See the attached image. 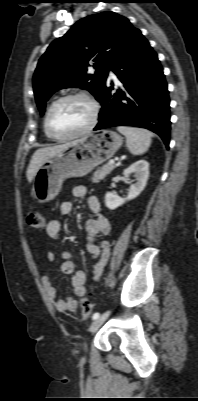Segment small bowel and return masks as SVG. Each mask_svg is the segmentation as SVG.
I'll list each match as a JSON object with an SVG mask.
<instances>
[{
  "instance_id": "c3829d8e",
  "label": "small bowel",
  "mask_w": 198,
  "mask_h": 401,
  "mask_svg": "<svg viewBox=\"0 0 198 401\" xmlns=\"http://www.w3.org/2000/svg\"><path fill=\"white\" fill-rule=\"evenodd\" d=\"M87 193L84 186H76L73 189V195L77 198H83ZM88 207L93 214V217L87 220L85 228L87 233L86 250L90 256L96 260L93 271V279L98 281L103 273L104 267L110 256V243L107 240L101 241L97 244L96 237L108 235L111 230L110 221L102 214L101 204L96 196L88 198ZM73 209L71 202H63L59 206V216L52 219L46 226V234L52 241H57L59 238L62 220L67 217ZM60 256L62 258L61 271L65 274H73L71 284L74 290L73 297L58 298L57 290L53 284L51 275L45 274L41 277L42 285L52 302L53 306L58 312H73L77 308V297H82L86 294V273L83 270L75 271V264L71 254L67 250H61ZM49 260H54L56 257L55 252L48 254Z\"/></svg>"
}]
</instances>
